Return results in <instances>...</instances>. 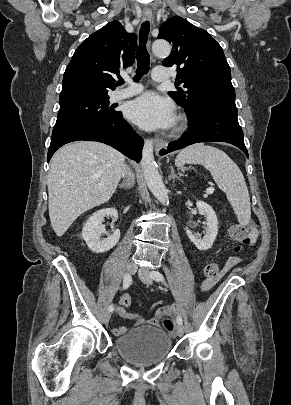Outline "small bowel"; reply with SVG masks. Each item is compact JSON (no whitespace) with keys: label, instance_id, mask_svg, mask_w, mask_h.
Listing matches in <instances>:
<instances>
[{"label":"small bowel","instance_id":"1","mask_svg":"<svg viewBox=\"0 0 291 405\" xmlns=\"http://www.w3.org/2000/svg\"><path fill=\"white\" fill-rule=\"evenodd\" d=\"M255 239H256V231L253 232V235H252V238H251V242L253 243V242L255 241ZM239 261H240V259H239L238 257H230V258L227 260V262H226V264H225V266H224V268H223L221 274L225 273V272L228 271L230 268H232L233 266H235ZM221 274H220V275H221ZM215 281H216V279L204 281V282L202 283L201 289H202L203 291H206V290L210 289V288L214 285ZM177 311H178V308H177V306H175V305H173V306H165V307L159 308V309L157 310V312H156L155 318L150 319V320H148L147 322H148V323H151V324H155L161 317H164V316H175V315L177 314ZM116 313H117L120 317H122V318H124V319L134 320V321H135V325H139V324H141V323H143V322L145 321L139 314L127 312V311L125 310V307L122 306L121 303L116 307ZM126 331H127V329H126L124 326H117V327H114V328L112 329L113 335H115V336H117V337L120 336V335H122V334H124Z\"/></svg>","mask_w":291,"mask_h":405}]
</instances>
